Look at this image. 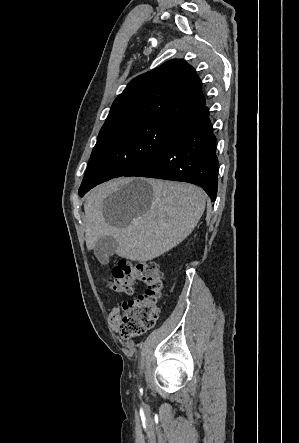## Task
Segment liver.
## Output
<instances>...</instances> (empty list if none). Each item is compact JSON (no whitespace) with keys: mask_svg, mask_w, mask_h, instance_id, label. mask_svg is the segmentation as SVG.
<instances>
[{"mask_svg":"<svg viewBox=\"0 0 299 443\" xmlns=\"http://www.w3.org/2000/svg\"><path fill=\"white\" fill-rule=\"evenodd\" d=\"M204 209L203 191L191 184L151 178L111 180L86 195V246L92 250L101 237L111 236L117 241L118 256L150 261L186 239Z\"/></svg>","mask_w":299,"mask_h":443,"instance_id":"6515ba94","label":"liver"}]
</instances>
